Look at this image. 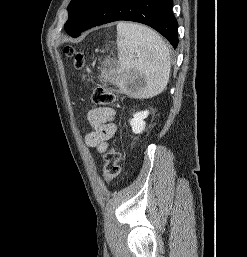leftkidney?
<instances>
[{"label": "left kidney", "mask_w": 247, "mask_h": 257, "mask_svg": "<svg viewBox=\"0 0 247 257\" xmlns=\"http://www.w3.org/2000/svg\"><path fill=\"white\" fill-rule=\"evenodd\" d=\"M148 115H149V111L147 110L137 112L133 115V118L130 120V125L133 133L139 134L143 132L146 125L144 119L147 118Z\"/></svg>", "instance_id": "obj_1"}]
</instances>
